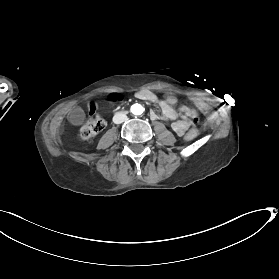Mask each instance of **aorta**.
Returning <instances> with one entry per match:
<instances>
[{
	"label": "aorta",
	"instance_id": "762f6f07",
	"mask_svg": "<svg viewBox=\"0 0 279 279\" xmlns=\"http://www.w3.org/2000/svg\"><path fill=\"white\" fill-rule=\"evenodd\" d=\"M143 111H144V108L142 107V105H140V104H138V103L133 104V105L131 106V112H132V114H134V115H140V114L143 113Z\"/></svg>",
	"mask_w": 279,
	"mask_h": 279
}]
</instances>
